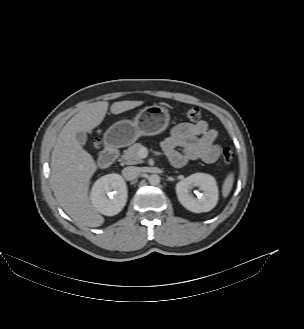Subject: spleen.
Here are the masks:
<instances>
[{
  "label": "spleen",
  "mask_w": 304,
  "mask_h": 329,
  "mask_svg": "<svg viewBox=\"0 0 304 329\" xmlns=\"http://www.w3.org/2000/svg\"><path fill=\"white\" fill-rule=\"evenodd\" d=\"M233 182H234V174L231 172L227 175L222 186V193L224 197H227L229 195L233 186Z\"/></svg>",
  "instance_id": "spleen-1"
}]
</instances>
